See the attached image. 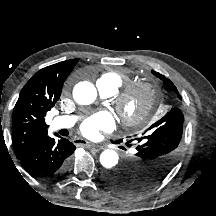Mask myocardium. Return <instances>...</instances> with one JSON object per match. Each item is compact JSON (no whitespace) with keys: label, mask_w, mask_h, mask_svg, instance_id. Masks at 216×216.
<instances>
[{"label":"myocardium","mask_w":216,"mask_h":216,"mask_svg":"<svg viewBox=\"0 0 216 216\" xmlns=\"http://www.w3.org/2000/svg\"><path fill=\"white\" fill-rule=\"evenodd\" d=\"M139 97L137 108H130L131 100ZM156 100V90L148 81L133 82L125 87L115 100V107L123 121L129 125H140L150 116Z\"/></svg>","instance_id":"obj_1"}]
</instances>
